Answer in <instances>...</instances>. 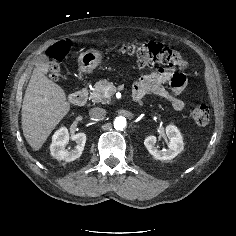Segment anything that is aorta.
Masks as SVG:
<instances>
[{"label":"aorta","instance_id":"1","mask_svg":"<svg viewBox=\"0 0 236 236\" xmlns=\"http://www.w3.org/2000/svg\"><path fill=\"white\" fill-rule=\"evenodd\" d=\"M126 124L127 122L125 117L119 116L114 120V128L116 130H123L126 127Z\"/></svg>","mask_w":236,"mask_h":236}]
</instances>
